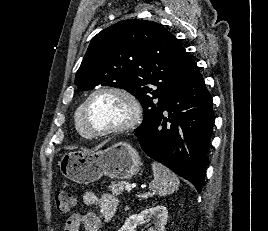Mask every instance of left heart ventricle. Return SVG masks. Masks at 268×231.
Listing matches in <instances>:
<instances>
[{
  "label": "left heart ventricle",
  "instance_id": "b2bd125f",
  "mask_svg": "<svg viewBox=\"0 0 268 231\" xmlns=\"http://www.w3.org/2000/svg\"><path fill=\"white\" fill-rule=\"evenodd\" d=\"M129 105L117 95L102 93L88 107V122L93 130L109 129L123 124L129 117Z\"/></svg>",
  "mask_w": 268,
  "mask_h": 231
}]
</instances>
